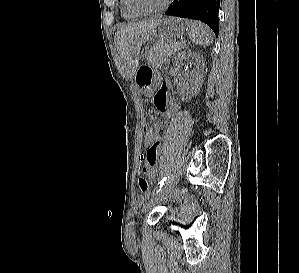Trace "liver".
Listing matches in <instances>:
<instances>
[{
	"mask_svg": "<svg viewBox=\"0 0 299 273\" xmlns=\"http://www.w3.org/2000/svg\"><path fill=\"white\" fill-rule=\"evenodd\" d=\"M161 19L125 23L118 27L114 42L124 66L133 76L139 64L142 45L149 41Z\"/></svg>",
	"mask_w": 299,
	"mask_h": 273,
	"instance_id": "1",
	"label": "liver"
}]
</instances>
